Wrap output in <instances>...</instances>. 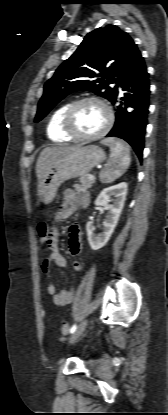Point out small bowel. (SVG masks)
Segmentation results:
<instances>
[{"label":"small bowel","mask_w":168,"mask_h":415,"mask_svg":"<svg viewBox=\"0 0 168 415\" xmlns=\"http://www.w3.org/2000/svg\"><path fill=\"white\" fill-rule=\"evenodd\" d=\"M89 202L90 198L86 192H75L70 189L66 190L63 194L62 205L55 216L54 222L52 224L48 223L49 236L46 243L49 248V254L43 260L41 269L48 279L47 291L52 296L53 302L57 306H66L70 304L73 301L75 294L74 288L57 291L54 283L51 281L52 265H57L61 268L67 266L65 257L59 251L57 224L72 215L78 208H86L89 205ZM68 236L70 254L78 255L82 248V235L78 224L73 223L68 227ZM73 269L80 271L82 269L81 262L74 261Z\"/></svg>","instance_id":"obj_1"}]
</instances>
